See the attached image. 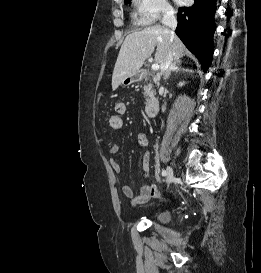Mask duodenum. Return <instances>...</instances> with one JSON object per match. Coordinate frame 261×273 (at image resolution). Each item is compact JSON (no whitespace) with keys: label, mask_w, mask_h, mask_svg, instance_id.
<instances>
[{"label":"duodenum","mask_w":261,"mask_h":273,"mask_svg":"<svg viewBox=\"0 0 261 273\" xmlns=\"http://www.w3.org/2000/svg\"><path fill=\"white\" fill-rule=\"evenodd\" d=\"M158 108H159L158 99L152 98L146 104V107H145L146 114L149 117H153L157 114Z\"/></svg>","instance_id":"obj_1"}]
</instances>
